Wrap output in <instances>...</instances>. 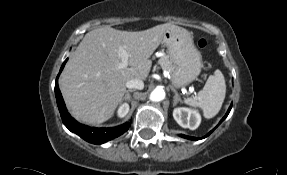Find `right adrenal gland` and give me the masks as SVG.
I'll return each instance as SVG.
<instances>
[{
	"mask_svg": "<svg viewBox=\"0 0 287 175\" xmlns=\"http://www.w3.org/2000/svg\"><path fill=\"white\" fill-rule=\"evenodd\" d=\"M133 91L134 90H127V92L125 94V97H124L125 101H129L130 100V98H131L130 92H133Z\"/></svg>",
	"mask_w": 287,
	"mask_h": 175,
	"instance_id": "right-adrenal-gland-1",
	"label": "right adrenal gland"
}]
</instances>
